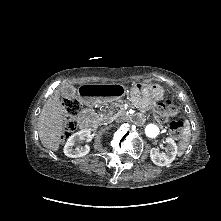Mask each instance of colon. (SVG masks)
Wrapping results in <instances>:
<instances>
[{
	"mask_svg": "<svg viewBox=\"0 0 221 221\" xmlns=\"http://www.w3.org/2000/svg\"><path fill=\"white\" fill-rule=\"evenodd\" d=\"M81 103L74 98L67 99L64 103V108L67 113V119L64 124V132L62 134V140L68 138L75 130L74 117L81 110ZM178 113V108L172 100H165L160 102L155 108V116L160 121H165L170 117L175 116ZM184 131V124L180 120H172L169 123V133L174 138H179Z\"/></svg>",
	"mask_w": 221,
	"mask_h": 221,
	"instance_id": "5ec220e1",
	"label": "colon"
}]
</instances>
